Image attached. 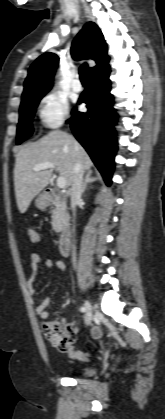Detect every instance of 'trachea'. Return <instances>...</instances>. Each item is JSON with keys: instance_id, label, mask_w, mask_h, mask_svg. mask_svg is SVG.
I'll return each instance as SVG.
<instances>
[{"instance_id": "obj_1", "label": "trachea", "mask_w": 165, "mask_h": 419, "mask_svg": "<svg viewBox=\"0 0 165 419\" xmlns=\"http://www.w3.org/2000/svg\"><path fill=\"white\" fill-rule=\"evenodd\" d=\"M79 74H80V80L81 82L87 81V75H88V65L87 63H84L79 68Z\"/></svg>"}]
</instances>
